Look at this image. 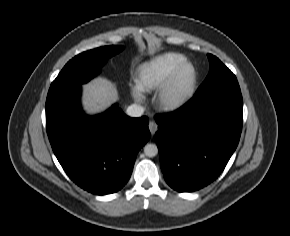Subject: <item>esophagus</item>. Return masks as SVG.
Segmentation results:
<instances>
[{"mask_svg": "<svg viewBox=\"0 0 290 236\" xmlns=\"http://www.w3.org/2000/svg\"><path fill=\"white\" fill-rule=\"evenodd\" d=\"M148 126H149V130H150L151 134L154 135L155 132H156L157 129H158V125H157V123H156L155 121L151 120V121L149 122V125H148Z\"/></svg>", "mask_w": 290, "mask_h": 236, "instance_id": "esophagus-1", "label": "esophagus"}]
</instances>
